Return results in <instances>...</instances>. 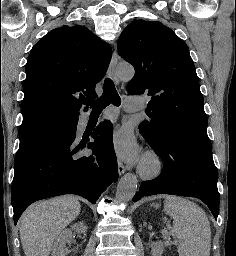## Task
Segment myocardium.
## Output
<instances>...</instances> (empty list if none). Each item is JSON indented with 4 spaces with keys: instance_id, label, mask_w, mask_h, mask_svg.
I'll return each instance as SVG.
<instances>
[{
    "instance_id": "myocardium-1",
    "label": "myocardium",
    "mask_w": 236,
    "mask_h": 256,
    "mask_svg": "<svg viewBox=\"0 0 236 256\" xmlns=\"http://www.w3.org/2000/svg\"><path fill=\"white\" fill-rule=\"evenodd\" d=\"M165 164L161 155L155 150H148L143 155L138 168L139 176L144 180H154L164 171Z\"/></svg>"
}]
</instances>
